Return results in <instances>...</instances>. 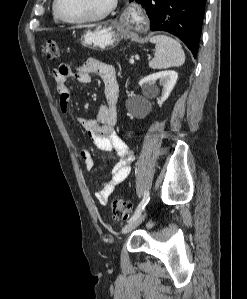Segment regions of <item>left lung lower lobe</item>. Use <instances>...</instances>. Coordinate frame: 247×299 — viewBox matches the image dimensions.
<instances>
[{"instance_id":"left-lung-lower-lobe-1","label":"left lung lower lobe","mask_w":247,"mask_h":299,"mask_svg":"<svg viewBox=\"0 0 247 299\" xmlns=\"http://www.w3.org/2000/svg\"><path fill=\"white\" fill-rule=\"evenodd\" d=\"M136 2L146 7L152 31H167L177 36L196 58L206 0H136Z\"/></svg>"}]
</instances>
